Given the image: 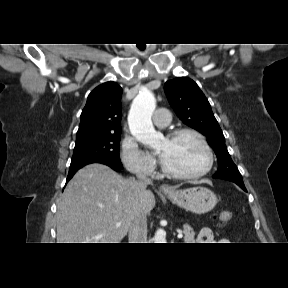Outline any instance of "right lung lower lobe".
Wrapping results in <instances>:
<instances>
[{"instance_id": "98d812e1", "label": "right lung lower lobe", "mask_w": 288, "mask_h": 288, "mask_svg": "<svg viewBox=\"0 0 288 288\" xmlns=\"http://www.w3.org/2000/svg\"><path fill=\"white\" fill-rule=\"evenodd\" d=\"M90 163H102L105 165H108L109 167L113 168L114 170H120L122 169V167H118L114 164H111L103 159H90V160H86V161H82L76 164H71L70 168H69V173H68V177H67V181L66 183L73 177V175L83 166L90 164Z\"/></svg>"}]
</instances>
